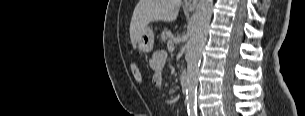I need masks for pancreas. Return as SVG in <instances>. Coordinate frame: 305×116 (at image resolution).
Masks as SVG:
<instances>
[{"instance_id": "1", "label": "pancreas", "mask_w": 305, "mask_h": 116, "mask_svg": "<svg viewBox=\"0 0 305 116\" xmlns=\"http://www.w3.org/2000/svg\"><path fill=\"white\" fill-rule=\"evenodd\" d=\"M171 31L170 30H168V29H164L162 32H161V34H160V36H159V39H160V41L163 43V42H168L170 39H171Z\"/></svg>"}]
</instances>
